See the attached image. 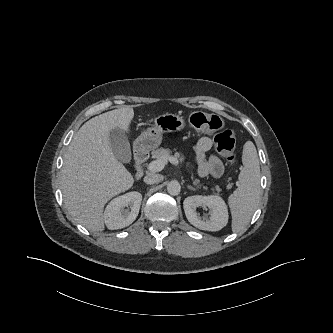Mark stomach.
I'll return each mask as SVG.
<instances>
[{
    "label": "stomach",
    "mask_w": 333,
    "mask_h": 333,
    "mask_svg": "<svg viewBox=\"0 0 333 333\" xmlns=\"http://www.w3.org/2000/svg\"><path fill=\"white\" fill-rule=\"evenodd\" d=\"M185 127L183 117L165 113L154 119V124L143 131L135 140L134 147L139 151H150L157 148L163 139V134L180 131Z\"/></svg>",
    "instance_id": "0dacf381"
}]
</instances>
